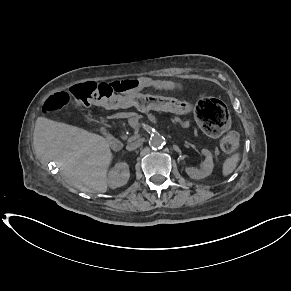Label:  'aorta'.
<instances>
[{
	"instance_id": "762f6f07",
	"label": "aorta",
	"mask_w": 291,
	"mask_h": 291,
	"mask_svg": "<svg viewBox=\"0 0 291 291\" xmlns=\"http://www.w3.org/2000/svg\"><path fill=\"white\" fill-rule=\"evenodd\" d=\"M165 144V138L159 134L153 135L149 140L152 149H161Z\"/></svg>"
}]
</instances>
